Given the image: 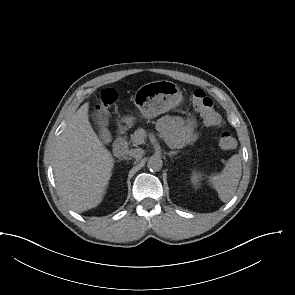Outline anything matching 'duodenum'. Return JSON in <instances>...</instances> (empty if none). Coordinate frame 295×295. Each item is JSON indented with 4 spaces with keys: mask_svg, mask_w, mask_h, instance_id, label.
<instances>
[{
    "mask_svg": "<svg viewBox=\"0 0 295 295\" xmlns=\"http://www.w3.org/2000/svg\"><path fill=\"white\" fill-rule=\"evenodd\" d=\"M128 142L126 134L123 131H118L114 144L113 152L117 157H124L127 154Z\"/></svg>",
    "mask_w": 295,
    "mask_h": 295,
    "instance_id": "1",
    "label": "duodenum"
}]
</instances>
